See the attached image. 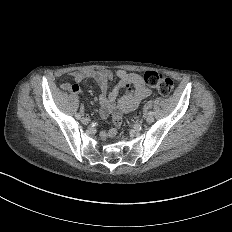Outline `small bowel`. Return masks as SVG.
I'll list each match as a JSON object with an SVG mask.
<instances>
[{
	"mask_svg": "<svg viewBox=\"0 0 232 232\" xmlns=\"http://www.w3.org/2000/svg\"><path fill=\"white\" fill-rule=\"evenodd\" d=\"M66 75L70 76L73 81L63 83L62 87L72 93L82 91V83L85 79L94 80L101 90L100 100L103 105L100 109L101 117L106 118L113 112L117 125L120 124L122 115L133 111L142 99L154 96V92L145 86L142 76L130 73L125 69L117 71L119 81L113 85L110 92H108V88L112 72L109 69L68 70ZM129 87H133L135 91L120 96L121 90ZM115 134V129H109L103 131L101 137L105 139Z\"/></svg>",
	"mask_w": 232,
	"mask_h": 232,
	"instance_id": "obj_1",
	"label": "small bowel"
}]
</instances>
